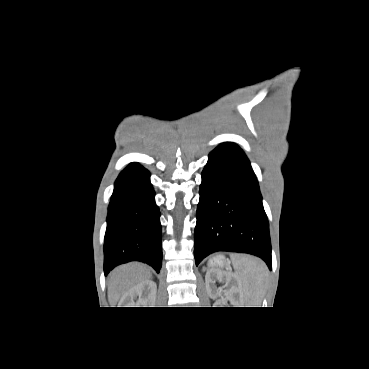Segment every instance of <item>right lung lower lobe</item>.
I'll return each mask as SVG.
<instances>
[{"instance_id": "98d812e1", "label": "right lung lower lobe", "mask_w": 369, "mask_h": 369, "mask_svg": "<svg viewBox=\"0 0 369 369\" xmlns=\"http://www.w3.org/2000/svg\"><path fill=\"white\" fill-rule=\"evenodd\" d=\"M149 172L131 163L118 176L108 208L104 242V272L141 261L157 272L162 264L160 211Z\"/></svg>"}]
</instances>
